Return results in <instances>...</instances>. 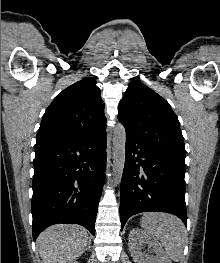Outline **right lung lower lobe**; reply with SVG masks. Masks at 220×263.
Instances as JSON below:
<instances>
[{
  "label": "right lung lower lobe",
  "instance_id": "right-lung-lower-lobe-1",
  "mask_svg": "<svg viewBox=\"0 0 220 263\" xmlns=\"http://www.w3.org/2000/svg\"><path fill=\"white\" fill-rule=\"evenodd\" d=\"M106 169V130L36 143L33 176V239L56 223H76L95 235Z\"/></svg>",
  "mask_w": 220,
  "mask_h": 263
}]
</instances>
